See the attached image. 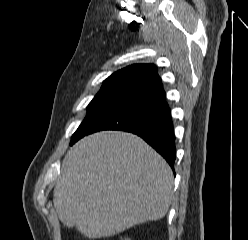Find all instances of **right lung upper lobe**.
Wrapping results in <instances>:
<instances>
[{
	"label": "right lung upper lobe",
	"mask_w": 248,
	"mask_h": 240,
	"mask_svg": "<svg viewBox=\"0 0 248 240\" xmlns=\"http://www.w3.org/2000/svg\"><path fill=\"white\" fill-rule=\"evenodd\" d=\"M100 91L133 97L137 101L165 93L153 64H134L113 73L103 82Z\"/></svg>",
	"instance_id": "cb5924a9"
}]
</instances>
